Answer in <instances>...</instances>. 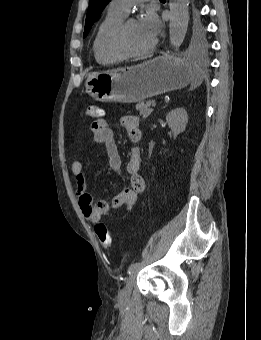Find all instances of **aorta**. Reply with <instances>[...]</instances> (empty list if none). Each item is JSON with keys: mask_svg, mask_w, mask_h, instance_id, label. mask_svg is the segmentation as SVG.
<instances>
[{"mask_svg": "<svg viewBox=\"0 0 261 340\" xmlns=\"http://www.w3.org/2000/svg\"><path fill=\"white\" fill-rule=\"evenodd\" d=\"M189 21L188 0H171L170 2V43L180 47L184 41Z\"/></svg>", "mask_w": 261, "mask_h": 340, "instance_id": "762f6f07", "label": "aorta"}]
</instances>
